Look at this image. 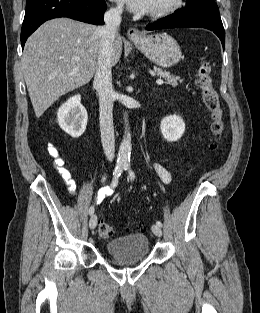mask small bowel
I'll return each instance as SVG.
<instances>
[{
  "mask_svg": "<svg viewBox=\"0 0 260 313\" xmlns=\"http://www.w3.org/2000/svg\"><path fill=\"white\" fill-rule=\"evenodd\" d=\"M48 151H49V154L54 158L55 165L59 168L61 176H62L64 182L67 184L69 191L74 194L75 190H76V183H75L74 179L72 178L71 173L62 167L64 164V161L60 157L59 152L52 146L49 148ZM154 169H155L157 175L160 177V179L164 183H169L171 181L170 172L162 164L156 163L154 165ZM104 179L105 178H102V181H104ZM112 193H113L112 189H110L108 187H107V189H106V187L102 188L99 191V194L95 199L96 204L97 205L101 204L104 201V199L106 198V196H109Z\"/></svg>",
  "mask_w": 260,
  "mask_h": 313,
  "instance_id": "1",
  "label": "small bowel"
}]
</instances>
